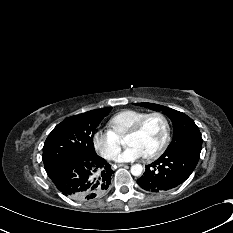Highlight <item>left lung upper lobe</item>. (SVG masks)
<instances>
[{
    "instance_id": "1",
    "label": "left lung upper lobe",
    "mask_w": 233,
    "mask_h": 233,
    "mask_svg": "<svg viewBox=\"0 0 233 233\" xmlns=\"http://www.w3.org/2000/svg\"><path fill=\"white\" fill-rule=\"evenodd\" d=\"M135 105L149 108L154 111H162L173 123V140L166 151L189 150L200 154L202 137L198 126L186 114L177 110L153 103H136Z\"/></svg>"
}]
</instances>
